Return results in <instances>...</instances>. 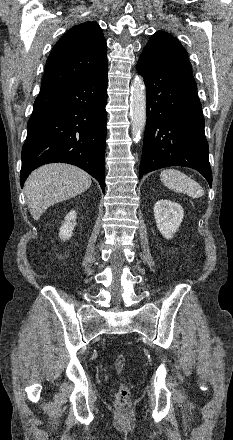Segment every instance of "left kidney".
<instances>
[{
	"label": "left kidney",
	"instance_id": "left-kidney-1",
	"mask_svg": "<svg viewBox=\"0 0 233 440\" xmlns=\"http://www.w3.org/2000/svg\"><path fill=\"white\" fill-rule=\"evenodd\" d=\"M154 216L160 233L166 239H171L178 231L184 211L178 203L162 199L154 205Z\"/></svg>",
	"mask_w": 233,
	"mask_h": 440
}]
</instances>
